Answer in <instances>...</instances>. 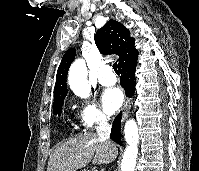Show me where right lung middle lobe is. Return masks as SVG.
<instances>
[{
	"label": "right lung middle lobe",
	"mask_w": 199,
	"mask_h": 171,
	"mask_svg": "<svg viewBox=\"0 0 199 171\" xmlns=\"http://www.w3.org/2000/svg\"><path fill=\"white\" fill-rule=\"evenodd\" d=\"M63 102H64V99H61V100L54 102V104H53L54 114H58V116L61 115V109H62V106H63Z\"/></svg>",
	"instance_id": "right-lung-middle-lobe-1"
}]
</instances>
